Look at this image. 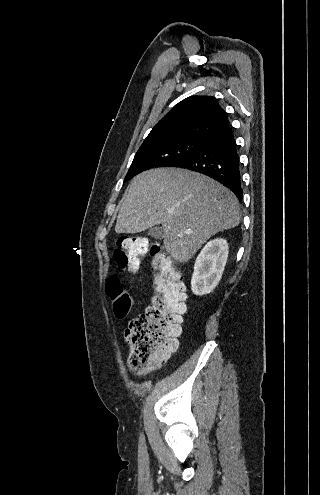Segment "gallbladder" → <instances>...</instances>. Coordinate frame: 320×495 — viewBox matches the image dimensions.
<instances>
[{
	"label": "gallbladder",
	"mask_w": 320,
	"mask_h": 495,
	"mask_svg": "<svg viewBox=\"0 0 320 495\" xmlns=\"http://www.w3.org/2000/svg\"><path fill=\"white\" fill-rule=\"evenodd\" d=\"M163 234L164 232L161 227H151L148 230V235L156 239H161L163 237Z\"/></svg>",
	"instance_id": "obj_1"
}]
</instances>
